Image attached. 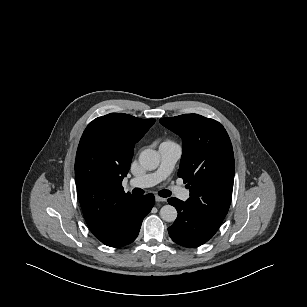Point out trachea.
Returning <instances> with one entry per match:
<instances>
[{"label": "trachea", "instance_id": "trachea-1", "mask_svg": "<svg viewBox=\"0 0 307 307\" xmlns=\"http://www.w3.org/2000/svg\"><path fill=\"white\" fill-rule=\"evenodd\" d=\"M132 193H133V194H144V190H142V189H140V188H134V189L132 190ZM158 195L161 196V197H169V196L171 195V191L166 190V189L160 190V191L158 192Z\"/></svg>", "mask_w": 307, "mask_h": 307}]
</instances>
